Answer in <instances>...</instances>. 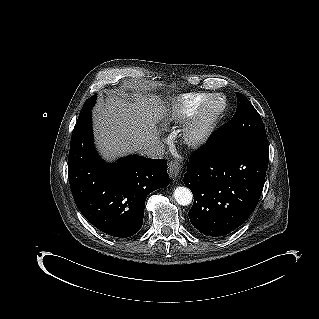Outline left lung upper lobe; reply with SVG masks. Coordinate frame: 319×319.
I'll list each match as a JSON object with an SVG mask.
<instances>
[{
  "instance_id": "1",
  "label": "left lung upper lobe",
  "mask_w": 319,
  "mask_h": 319,
  "mask_svg": "<svg viewBox=\"0 0 319 319\" xmlns=\"http://www.w3.org/2000/svg\"><path fill=\"white\" fill-rule=\"evenodd\" d=\"M238 106L232 119L210 136L209 151L258 141H267L263 121L249 100L236 92Z\"/></svg>"
}]
</instances>
